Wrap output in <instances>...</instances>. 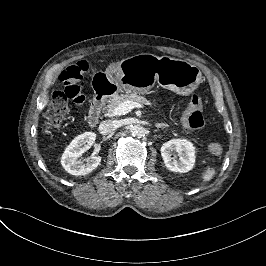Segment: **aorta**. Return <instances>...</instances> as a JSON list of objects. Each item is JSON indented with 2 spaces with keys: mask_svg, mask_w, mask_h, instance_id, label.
<instances>
[{
  "mask_svg": "<svg viewBox=\"0 0 266 266\" xmlns=\"http://www.w3.org/2000/svg\"><path fill=\"white\" fill-rule=\"evenodd\" d=\"M130 131L132 136L137 139H141L147 135V130L142 125H134Z\"/></svg>",
  "mask_w": 266,
  "mask_h": 266,
  "instance_id": "aorta-1",
  "label": "aorta"
}]
</instances>
